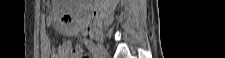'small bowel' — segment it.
I'll return each mask as SVG.
<instances>
[{"instance_id":"1","label":"small bowel","mask_w":225,"mask_h":58,"mask_svg":"<svg viewBox=\"0 0 225 58\" xmlns=\"http://www.w3.org/2000/svg\"><path fill=\"white\" fill-rule=\"evenodd\" d=\"M54 4V2H52ZM53 22L52 17L46 18V23L51 25ZM66 32L70 35H74L78 32L76 27H71L66 30ZM75 47L72 46L71 42H63L59 44L57 47L52 48L49 42H46L43 52L47 54L48 58H73V49Z\"/></svg>"}]
</instances>
